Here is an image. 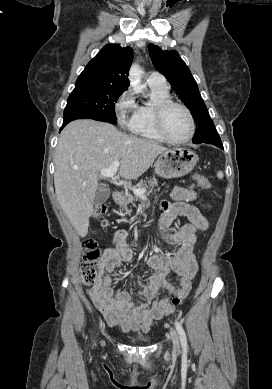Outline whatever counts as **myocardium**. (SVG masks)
I'll return each mask as SVG.
<instances>
[{
    "instance_id": "myocardium-1",
    "label": "myocardium",
    "mask_w": 272,
    "mask_h": 389,
    "mask_svg": "<svg viewBox=\"0 0 272 389\" xmlns=\"http://www.w3.org/2000/svg\"><path fill=\"white\" fill-rule=\"evenodd\" d=\"M172 106H177V107L182 108L188 116V119L190 122V132L185 138L175 139V138L171 137L165 130L164 116H165L166 111ZM153 118H154V125H155L157 132L162 136V138L164 140H166L168 142L175 143V144L186 143V142L190 141L195 134L196 124H195L193 114H192L191 110L185 104H183L181 102L174 101L172 99H167V100H164V101L158 103L154 108Z\"/></svg>"
}]
</instances>
